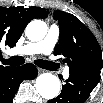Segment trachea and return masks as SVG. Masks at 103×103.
<instances>
[{"label": "trachea", "mask_w": 103, "mask_h": 103, "mask_svg": "<svg viewBox=\"0 0 103 103\" xmlns=\"http://www.w3.org/2000/svg\"><path fill=\"white\" fill-rule=\"evenodd\" d=\"M25 59L22 56H14L9 59H3V64L5 65H11V66H19L24 64ZM34 63L44 69H51L53 68V63L50 61L45 60H35Z\"/></svg>", "instance_id": "3493384b"}]
</instances>
